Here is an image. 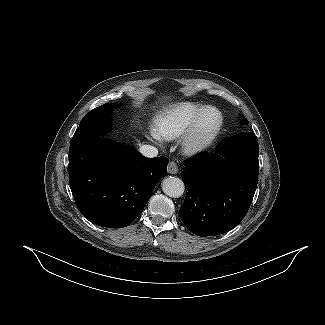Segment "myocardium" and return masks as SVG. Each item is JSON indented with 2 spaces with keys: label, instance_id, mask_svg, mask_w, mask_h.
<instances>
[{
  "label": "myocardium",
  "instance_id": "f54148a6",
  "mask_svg": "<svg viewBox=\"0 0 325 325\" xmlns=\"http://www.w3.org/2000/svg\"><path fill=\"white\" fill-rule=\"evenodd\" d=\"M210 111L215 112L218 118L211 128L205 130L203 120ZM223 123V114L218 108L207 106L202 109L181 137L180 146L182 152L191 156L208 149L220 133Z\"/></svg>",
  "mask_w": 325,
  "mask_h": 325
}]
</instances>
